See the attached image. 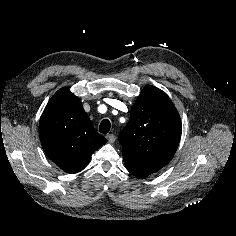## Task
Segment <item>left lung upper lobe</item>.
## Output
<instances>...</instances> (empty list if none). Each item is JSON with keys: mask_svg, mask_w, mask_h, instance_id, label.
Here are the masks:
<instances>
[{"mask_svg": "<svg viewBox=\"0 0 236 236\" xmlns=\"http://www.w3.org/2000/svg\"><path fill=\"white\" fill-rule=\"evenodd\" d=\"M181 132L180 116L170 98L157 87L146 85L119 136L122 154L164 167L177 150Z\"/></svg>", "mask_w": 236, "mask_h": 236, "instance_id": "1", "label": "left lung upper lobe"}]
</instances>
